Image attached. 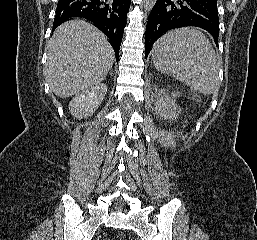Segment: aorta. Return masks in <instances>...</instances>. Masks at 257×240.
I'll return each mask as SVG.
<instances>
[{
  "label": "aorta",
  "instance_id": "obj_1",
  "mask_svg": "<svg viewBox=\"0 0 257 240\" xmlns=\"http://www.w3.org/2000/svg\"><path fill=\"white\" fill-rule=\"evenodd\" d=\"M155 3H156V0H144L145 12H150Z\"/></svg>",
  "mask_w": 257,
  "mask_h": 240
}]
</instances>
